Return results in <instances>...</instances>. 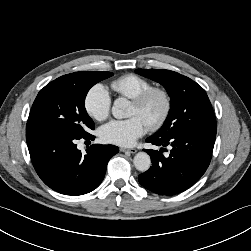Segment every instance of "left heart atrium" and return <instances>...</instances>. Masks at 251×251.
Wrapping results in <instances>:
<instances>
[{"instance_id": "obj_1", "label": "left heart atrium", "mask_w": 251, "mask_h": 251, "mask_svg": "<svg viewBox=\"0 0 251 251\" xmlns=\"http://www.w3.org/2000/svg\"><path fill=\"white\" fill-rule=\"evenodd\" d=\"M147 124L139 116L124 120H112L99 130L100 139L109 144L131 146L147 130Z\"/></svg>"}]
</instances>
